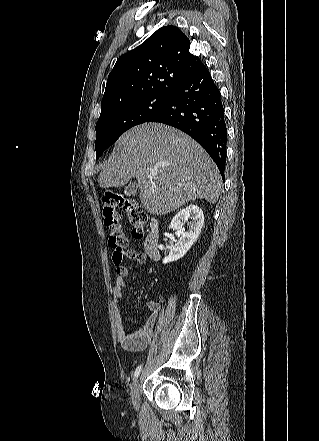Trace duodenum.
Returning <instances> with one entry per match:
<instances>
[{
	"instance_id": "1",
	"label": "duodenum",
	"mask_w": 319,
	"mask_h": 441,
	"mask_svg": "<svg viewBox=\"0 0 319 441\" xmlns=\"http://www.w3.org/2000/svg\"><path fill=\"white\" fill-rule=\"evenodd\" d=\"M158 238L159 237H158L157 223L154 220H152L151 229L146 237L144 246L148 256H150L154 260L159 259L160 256L158 249Z\"/></svg>"
}]
</instances>
